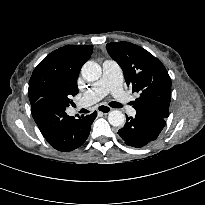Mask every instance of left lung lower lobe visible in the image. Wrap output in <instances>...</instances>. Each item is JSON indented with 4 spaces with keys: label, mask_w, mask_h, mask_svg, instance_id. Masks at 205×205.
I'll return each instance as SVG.
<instances>
[{
    "label": "left lung lower lobe",
    "mask_w": 205,
    "mask_h": 205,
    "mask_svg": "<svg viewBox=\"0 0 205 205\" xmlns=\"http://www.w3.org/2000/svg\"><path fill=\"white\" fill-rule=\"evenodd\" d=\"M165 124V118L137 112L135 118L126 116V124L118 134L127 145L141 148L154 141Z\"/></svg>",
    "instance_id": "obj_1"
}]
</instances>
